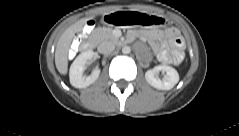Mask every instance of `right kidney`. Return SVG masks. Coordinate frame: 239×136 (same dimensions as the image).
<instances>
[{
	"label": "right kidney",
	"instance_id": "ca27d5eb",
	"mask_svg": "<svg viewBox=\"0 0 239 136\" xmlns=\"http://www.w3.org/2000/svg\"><path fill=\"white\" fill-rule=\"evenodd\" d=\"M94 56V52L92 50L82 52L77 58L74 60L70 67L69 78L70 83L75 88H85L94 83L100 74V69H94L89 76H84L85 63L88 60H91Z\"/></svg>",
	"mask_w": 239,
	"mask_h": 136
}]
</instances>
